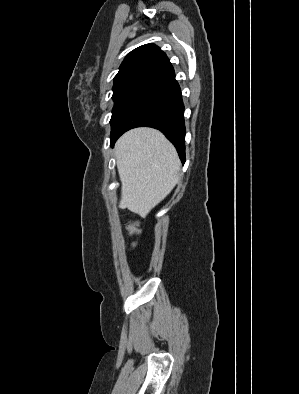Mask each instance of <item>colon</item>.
Masks as SVG:
<instances>
[{"mask_svg":"<svg viewBox=\"0 0 299 394\" xmlns=\"http://www.w3.org/2000/svg\"><path fill=\"white\" fill-rule=\"evenodd\" d=\"M128 230L133 236H138L140 233L139 225L137 222L134 221L128 224Z\"/></svg>","mask_w":299,"mask_h":394,"instance_id":"colon-1","label":"colon"}]
</instances>
